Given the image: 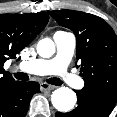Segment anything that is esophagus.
Masks as SVG:
<instances>
[{"mask_svg": "<svg viewBox=\"0 0 117 117\" xmlns=\"http://www.w3.org/2000/svg\"><path fill=\"white\" fill-rule=\"evenodd\" d=\"M56 87L55 86H53V85H50V84H48V83H41L40 84V89H41V91H51V90H53V89H55Z\"/></svg>", "mask_w": 117, "mask_h": 117, "instance_id": "34e87169", "label": "esophagus"}]
</instances>
